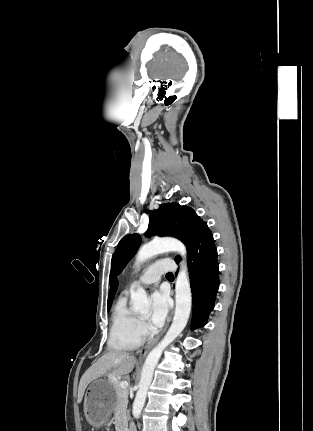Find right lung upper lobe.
Segmentation results:
<instances>
[{
  "instance_id": "right-lung-upper-lobe-1",
  "label": "right lung upper lobe",
  "mask_w": 313,
  "mask_h": 431,
  "mask_svg": "<svg viewBox=\"0 0 313 431\" xmlns=\"http://www.w3.org/2000/svg\"><path fill=\"white\" fill-rule=\"evenodd\" d=\"M117 287H118V280H117V278H115L114 281L112 282L111 289L109 291L108 306L112 304V301L114 299Z\"/></svg>"
}]
</instances>
